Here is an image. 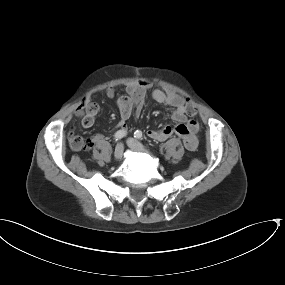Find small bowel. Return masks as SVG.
<instances>
[{
    "label": "small bowel",
    "instance_id": "c3829d8e",
    "mask_svg": "<svg viewBox=\"0 0 285 285\" xmlns=\"http://www.w3.org/2000/svg\"><path fill=\"white\" fill-rule=\"evenodd\" d=\"M148 90L147 82L131 83L126 87L125 95L117 100V105L120 112V120L118 127L120 130L127 129V120L135 114H139L144 106L146 93ZM105 95L112 98L115 95V90L110 87L106 90ZM152 99L160 104H165L173 108L172 125L164 126L161 128L149 129L147 135L149 138L163 141L173 135L181 138L184 147L189 151H194L199 145V129L200 124L195 118H188L187 106L182 96L174 92H165L160 89H155L152 92ZM99 112V106L94 102L86 103L85 106L79 105L74 110L75 116L82 117V124L84 127L89 128L94 124L95 117ZM102 139L101 135H93L88 138L89 146L91 148L94 143ZM71 146L74 147L71 140Z\"/></svg>",
    "mask_w": 285,
    "mask_h": 285
}]
</instances>
